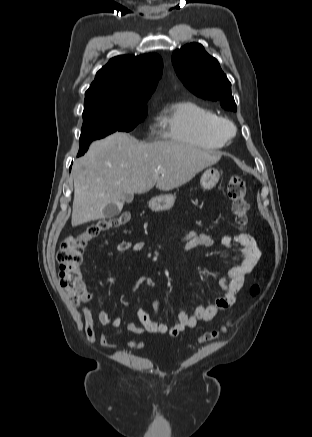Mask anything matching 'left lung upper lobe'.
<instances>
[{"label":"left lung upper lobe","mask_w":312,"mask_h":437,"mask_svg":"<svg viewBox=\"0 0 312 437\" xmlns=\"http://www.w3.org/2000/svg\"><path fill=\"white\" fill-rule=\"evenodd\" d=\"M172 62L177 76L195 95L219 101L226 110L236 111L231 83L217 59L210 56L201 44H187L173 52Z\"/></svg>","instance_id":"5c2ea615"}]
</instances>
